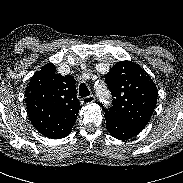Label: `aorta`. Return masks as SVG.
I'll use <instances>...</instances> for the list:
<instances>
[{
  "label": "aorta",
  "mask_w": 183,
  "mask_h": 183,
  "mask_svg": "<svg viewBox=\"0 0 183 183\" xmlns=\"http://www.w3.org/2000/svg\"><path fill=\"white\" fill-rule=\"evenodd\" d=\"M98 98L105 104L109 103L111 95L107 87L96 88Z\"/></svg>",
  "instance_id": "aorta-1"
}]
</instances>
